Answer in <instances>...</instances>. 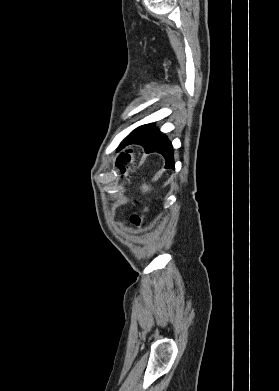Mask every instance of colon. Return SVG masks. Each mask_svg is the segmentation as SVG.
Returning <instances> with one entry per match:
<instances>
[{
  "label": "colon",
  "mask_w": 279,
  "mask_h": 391,
  "mask_svg": "<svg viewBox=\"0 0 279 391\" xmlns=\"http://www.w3.org/2000/svg\"><path fill=\"white\" fill-rule=\"evenodd\" d=\"M132 159L133 156L131 153H123L119 159H118V165L119 167L125 171L126 168L130 167L132 165ZM130 222L138 227L141 228L145 224V217L142 213H134L130 217Z\"/></svg>",
  "instance_id": "5ec220e1"
}]
</instances>
